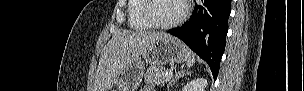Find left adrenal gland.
<instances>
[{
    "label": "left adrenal gland",
    "mask_w": 304,
    "mask_h": 91,
    "mask_svg": "<svg viewBox=\"0 0 304 91\" xmlns=\"http://www.w3.org/2000/svg\"><path fill=\"white\" fill-rule=\"evenodd\" d=\"M190 73L185 72L184 70H180L178 72H176V74L174 75V79L172 81L169 82L168 86H167V91L170 90V87H172L173 85L176 84V82H178V80H180L181 78H183L184 76L189 75Z\"/></svg>",
    "instance_id": "1"
}]
</instances>
